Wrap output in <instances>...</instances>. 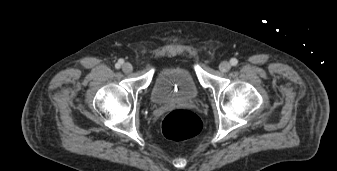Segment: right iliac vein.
<instances>
[{"mask_svg": "<svg viewBox=\"0 0 337 171\" xmlns=\"http://www.w3.org/2000/svg\"><path fill=\"white\" fill-rule=\"evenodd\" d=\"M122 70L125 73H130L133 70V67L130 63L126 62L122 65Z\"/></svg>", "mask_w": 337, "mask_h": 171, "instance_id": "right-iliac-vein-1", "label": "right iliac vein"}]
</instances>
